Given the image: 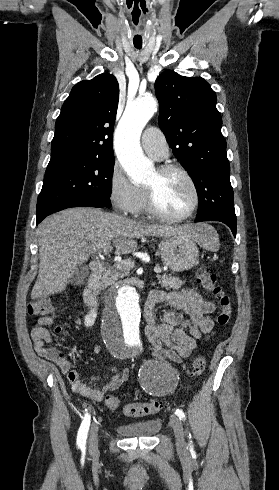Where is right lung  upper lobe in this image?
Returning a JSON list of instances; mask_svg holds the SVG:
<instances>
[{
  "instance_id": "cb5924a9",
  "label": "right lung upper lobe",
  "mask_w": 279,
  "mask_h": 490,
  "mask_svg": "<svg viewBox=\"0 0 279 490\" xmlns=\"http://www.w3.org/2000/svg\"><path fill=\"white\" fill-rule=\"evenodd\" d=\"M118 100L113 75L100 74L76 84L56 120L49 163L113 153Z\"/></svg>"
}]
</instances>
